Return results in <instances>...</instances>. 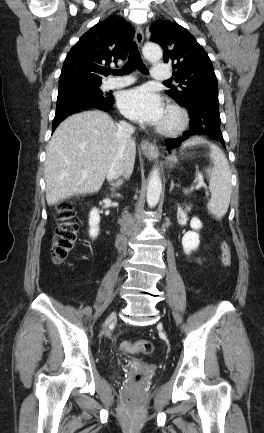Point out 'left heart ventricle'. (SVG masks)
<instances>
[{"instance_id": "b2bd125f", "label": "left heart ventricle", "mask_w": 264, "mask_h": 433, "mask_svg": "<svg viewBox=\"0 0 264 433\" xmlns=\"http://www.w3.org/2000/svg\"><path fill=\"white\" fill-rule=\"evenodd\" d=\"M166 121H169V117L167 115H165V117H164V119H163L162 122H166Z\"/></svg>"}]
</instances>
